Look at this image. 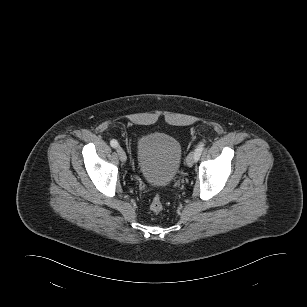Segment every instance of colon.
Segmentation results:
<instances>
[{
    "instance_id": "colon-1",
    "label": "colon",
    "mask_w": 307,
    "mask_h": 307,
    "mask_svg": "<svg viewBox=\"0 0 307 307\" xmlns=\"http://www.w3.org/2000/svg\"><path fill=\"white\" fill-rule=\"evenodd\" d=\"M150 209L154 213H160L163 210V202L159 195L154 196V198L152 199Z\"/></svg>"
}]
</instances>
